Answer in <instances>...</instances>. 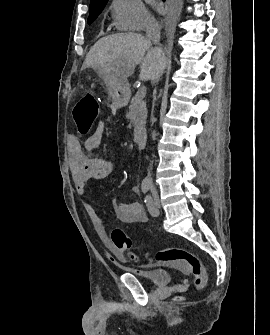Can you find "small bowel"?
Wrapping results in <instances>:
<instances>
[{"instance_id": "c3829d8e", "label": "small bowel", "mask_w": 270, "mask_h": 335, "mask_svg": "<svg viewBox=\"0 0 270 335\" xmlns=\"http://www.w3.org/2000/svg\"><path fill=\"white\" fill-rule=\"evenodd\" d=\"M105 126L103 121H99L93 133L86 139L84 148L87 151H95L99 148ZM69 168L72 179L79 195H84L86 185L92 180H102L110 176L114 170L112 161L104 158H91L84 152L78 138L74 135L69 139ZM134 193L139 192L138 187L133 188ZM112 206L118 220L126 224L144 223L147 221V215L138 202H120L116 198L112 199ZM85 209L93 219L96 227L104 232L106 228L105 221L101 215L89 204H85Z\"/></svg>"}]
</instances>
